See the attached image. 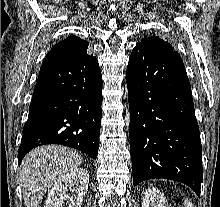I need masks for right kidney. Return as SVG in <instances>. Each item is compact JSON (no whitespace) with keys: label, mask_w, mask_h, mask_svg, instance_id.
<instances>
[{"label":"right kidney","mask_w":220,"mask_h":207,"mask_svg":"<svg viewBox=\"0 0 220 207\" xmlns=\"http://www.w3.org/2000/svg\"><path fill=\"white\" fill-rule=\"evenodd\" d=\"M89 184V173L83 168H75L54 183L48 193L45 207H81ZM71 191L68 194L67 191Z\"/></svg>","instance_id":"obj_1"}]
</instances>
